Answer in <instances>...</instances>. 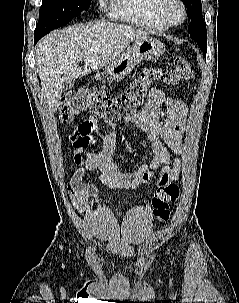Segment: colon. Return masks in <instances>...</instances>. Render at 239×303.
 <instances>
[{"instance_id": "colon-1", "label": "colon", "mask_w": 239, "mask_h": 303, "mask_svg": "<svg viewBox=\"0 0 239 303\" xmlns=\"http://www.w3.org/2000/svg\"><path fill=\"white\" fill-rule=\"evenodd\" d=\"M194 70L187 58L179 57L173 66L163 72L146 70L133 79L126 89L114 97L106 95L97 88H81L68 92L60 103V119L70 122L81 114L89 112L106 122L119 121L132 117L144 102L148 87L155 78H161L169 84H180L190 80ZM179 198L178 187L170 184L157 189L153 199V215L158 221L170 217V203Z\"/></svg>"}]
</instances>
